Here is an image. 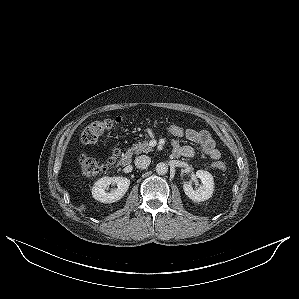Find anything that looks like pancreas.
Listing matches in <instances>:
<instances>
[{
  "instance_id": "pancreas-1",
  "label": "pancreas",
  "mask_w": 299,
  "mask_h": 299,
  "mask_svg": "<svg viewBox=\"0 0 299 299\" xmlns=\"http://www.w3.org/2000/svg\"><path fill=\"white\" fill-rule=\"evenodd\" d=\"M152 147L149 146V143L147 140L143 142H138L136 144H133L132 147L128 150L129 153H135V154H140V153H148L152 151Z\"/></svg>"
}]
</instances>
